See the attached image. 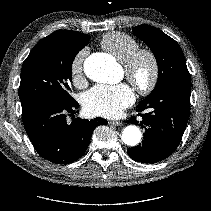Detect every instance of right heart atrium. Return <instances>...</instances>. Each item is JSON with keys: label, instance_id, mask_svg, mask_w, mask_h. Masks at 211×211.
I'll use <instances>...</instances> for the list:
<instances>
[{"label": "right heart atrium", "instance_id": "1", "mask_svg": "<svg viewBox=\"0 0 211 211\" xmlns=\"http://www.w3.org/2000/svg\"><path fill=\"white\" fill-rule=\"evenodd\" d=\"M88 55V48H82L72 57L70 63V74L75 86H82L85 82L84 62Z\"/></svg>", "mask_w": 211, "mask_h": 211}]
</instances>
